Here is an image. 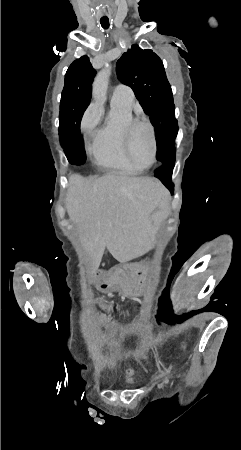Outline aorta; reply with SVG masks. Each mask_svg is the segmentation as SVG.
I'll use <instances>...</instances> for the list:
<instances>
[{"instance_id":"obj_1","label":"aorta","mask_w":241,"mask_h":450,"mask_svg":"<svg viewBox=\"0 0 241 450\" xmlns=\"http://www.w3.org/2000/svg\"><path fill=\"white\" fill-rule=\"evenodd\" d=\"M110 71V67L102 69L94 80L93 96L96 101H101L106 95Z\"/></svg>"}]
</instances>
